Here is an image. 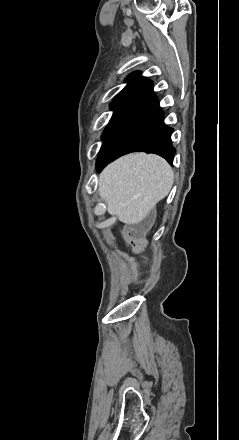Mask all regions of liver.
Returning <instances> with one entry per match:
<instances>
[{
  "instance_id": "liver-1",
  "label": "liver",
  "mask_w": 239,
  "mask_h": 440,
  "mask_svg": "<svg viewBox=\"0 0 239 440\" xmlns=\"http://www.w3.org/2000/svg\"><path fill=\"white\" fill-rule=\"evenodd\" d=\"M172 168L155 154H128L109 164L99 176V196L107 212L124 224H140L157 202L168 196Z\"/></svg>"
}]
</instances>
